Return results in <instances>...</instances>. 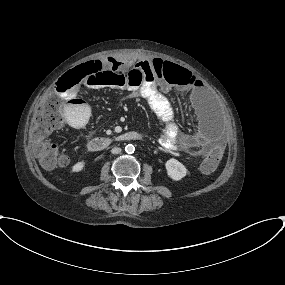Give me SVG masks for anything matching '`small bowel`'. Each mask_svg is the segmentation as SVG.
<instances>
[{"label":"small bowel","instance_id":"obj_1","mask_svg":"<svg viewBox=\"0 0 285 285\" xmlns=\"http://www.w3.org/2000/svg\"><path fill=\"white\" fill-rule=\"evenodd\" d=\"M114 60L118 64L119 70H125L134 65L143 71V88L140 92H132L129 96L131 98H144L151 112L163 124V132L159 137L161 147L171 151H183L193 159L208 157L216 151L223 153L225 146L213 123L204 118L196 133L182 132L175 122V111L171 102L161 92V89L179 90L182 87L199 89L200 80L191 71L173 64L172 66L180 69V71H175L161 80L158 77V71L162 70L165 65L162 59L133 61L130 57H114ZM67 83L64 81L62 86L66 87ZM86 85L93 89L109 87L100 79L88 80ZM64 95L67 97L64 107L67 123L71 128H80V122L83 119L89 120L90 118L89 105L81 98L76 86L69 94ZM194 102L199 107L203 105V100L198 93L194 95Z\"/></svg>","mask_w":285,"mask_h":285}]
</instances>
